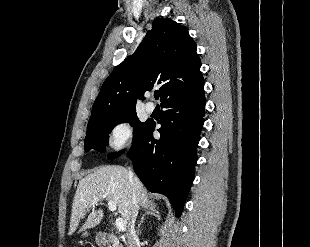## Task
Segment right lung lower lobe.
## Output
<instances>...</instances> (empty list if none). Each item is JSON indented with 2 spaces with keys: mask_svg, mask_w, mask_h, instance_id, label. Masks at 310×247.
Returning a JSON list of instances; mask_svg holds the SVG:
<instances>
[{
  "mask_svg": "<svg viewBox=\"0 0 310 247\" xmlns=\"http://www.w3.org/2000/svg\"><path fill=\"white\" fill-rule=\"evenodd\" d=\"M160 139L147 122L128 153L134 171L150 192L166 195L179 217L194 178L196 147L204 123V82L161 103Z\"/></svg>",
  "mask_w": 310,
  "mask_h": 247,
  "instance_id": "obj_1",
  "label": "right lung lower lobe"
}]
</instances>
